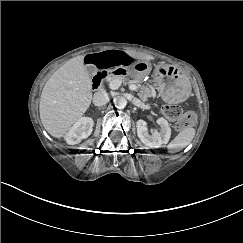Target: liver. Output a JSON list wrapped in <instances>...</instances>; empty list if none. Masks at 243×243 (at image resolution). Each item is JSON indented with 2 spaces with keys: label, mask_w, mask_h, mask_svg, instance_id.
<instances>
[{
  "label": "liver",
  "mask_w": 243,
  "mask_h": 243,
  "mask_svg": "<svg viewBox=\"0 0 243 243\" xmlns=\"http://www.w3.org/2000/svg\"><path fill=\"white\" fill-rule=\"evenodd\" d=\"M123 52L136 60H155V56L147 53ZM85 57V54L76 56L59 67L43 87L39 102L40 119L44 129L54 138L66 136L91 104L93 94Z\"/></svg>",
  "instance_id": "1"
}]
</instances>
